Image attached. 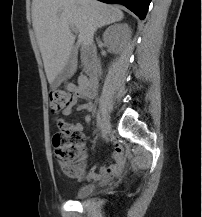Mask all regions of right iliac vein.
<instances>
[{"instance_id":"1","label":"right iliac vein","mask_w":202,"mask_h":217,"mask_svg":"<svg viewBox=\"0 0 202 217\" xmlns=\"http://www.w3.org/2000/svg\"><path fill=\"white\" fill-rule=\"evenodd\" d=\"M109 130H110V122L105 117V118L102 119V122H101V134H102L103 138L107 137V135L109 133Z\"/></svg>"}]
</instances>
